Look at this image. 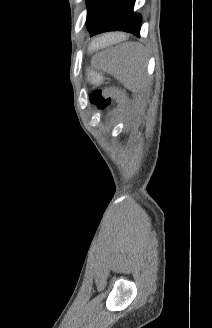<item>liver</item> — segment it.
<instances>
[{"instance_id": "1", "label": "liver", "mask_w": 212, "mask_h": 328, "mask_svg": "<svg viewBox=\"0 0 212 328\" xmlns=\"http://www.w3.org/2000/svg\"><path fill=\"white\" fill-rule=\"evenodd\" d=\"M112 39L115 41H122L126 39V36L122 34H112Z\"/></svg>"}]
</instances>
